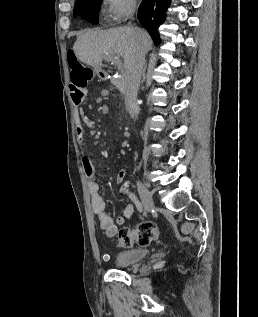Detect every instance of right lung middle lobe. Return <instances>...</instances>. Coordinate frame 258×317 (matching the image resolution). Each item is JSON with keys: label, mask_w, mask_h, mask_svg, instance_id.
<instances>
[{"label": "right lung middle lobe", "mask_w": 258, "mask_h": 317, "mask_svg": "<svg viewBox=\"0 0 258 317\" xmlns=\"http://www.w3.org/2000/svg\"><path fill=\"white\" fill-rule=\"evenodd\" d=\"M102 0H76L73 17H82L90 23L97 24V12Z\"/></svg>", "instance_id": "dd1d6c3e"}]
</instances>
